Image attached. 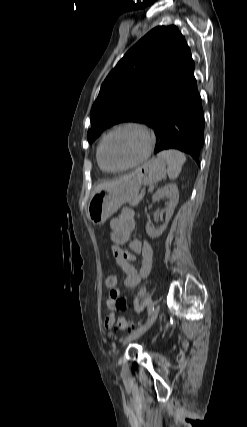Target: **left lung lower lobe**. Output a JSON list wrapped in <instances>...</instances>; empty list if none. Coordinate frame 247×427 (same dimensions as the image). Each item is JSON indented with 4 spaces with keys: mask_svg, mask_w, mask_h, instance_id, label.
Masks as SVG:
<instances>
[{
    "mask_svg": "<svg viewBox=\"0 0 247 427\" xmlns=\"http://www.w3.org/2000/svg\"><path fill=\"white\" fill-rule=\"evenodd\" d=\"M151 127L157 138L154 153L178 149L190 154L199 164L204 143V114L194 76L168 97Z\"/></svg>",
    "mask_w": 247,
    "mask_h": 427,
    "instance_id": "obj_1",
    "label": "left lung lower lobe"
}]
</instances>
